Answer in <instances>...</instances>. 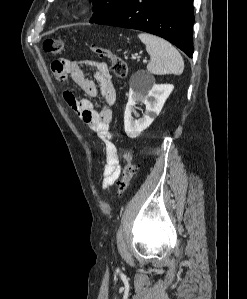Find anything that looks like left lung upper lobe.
<instances>
[{
  "mask_svg": "<svg viewBox=\"0 0 247 299\" xmlns=\"http://www.w3.org/2000/svg\"><path fill=\"white\" fill-rule=\"evenodd\" d=\"M91 1L94 4L93 7L94 14L90 19V23H94L95 21L103 18L104 16L112 12L122 0H91Z\"/></svg>",
  "mask_w": 247,
  "mask_h": 299,
  "instance_id": "5c2ea615",
  "label": "left lung upper lobe"
}]
</instances>
